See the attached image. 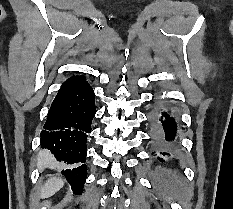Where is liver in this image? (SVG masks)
Returning a JSON list of instances; mask_svg holds the SVG:
<instances>
[{
  "mask_svg": "<svg viewBox=\"0 0 233 209\" xmlns=\"http://www.w3.org/2000/svg\"><path fill=\"white\" fill-rule=\"evenodd\" d=\"M64 185L62 178L51 177L41 188L40 198H48L59 191Z\"/></svg>",
  "mask_w": 233,
  "mask_h": 209,
  "instance_id": "1",
  "label": "liver"
}]
</instances>
